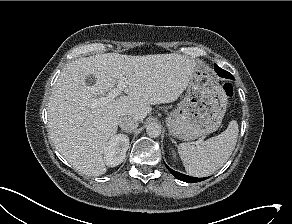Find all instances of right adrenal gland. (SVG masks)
Returning <instances> with one entry per match:
<instances>
[{
    "mask_svg": "<svg viewBox=\"0 0 292 224\" xmlns=\"http://www.w3.org/2000/svg\"><path fill=\"white\" fill-rule=\"evenodd\" d=\"M123 132H126V133H129V134H131L132 133V131H125V130H122Z\"/></svg>",
    "mask_w": 292,
    "mask_h": 224,
    "instance_id": "2a0ac1e0",
    "label": "right adrenal gland"
}]
</instances>
